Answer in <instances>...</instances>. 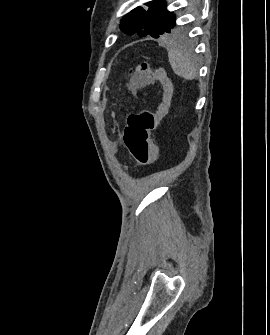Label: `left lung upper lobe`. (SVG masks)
Wrapping results in <instances>:
<instances>
[{
	"mask_svg": "<svg viewBox=\"0 0 270 335\" xmlns=\"http://www.w3.org/2000/svg\"><path fill=\"white\" fill-rule=\"evenodd\" d=\"M148 10L137 7L128 13L120 23V29L129 35L138 33L141 36L151 35L157 38L165 32L171 33L175 27V16L167 11L163 0L146 4Z\"/></svg>",
	"mask_w": 270,
	"mask_h": 335,
	"instance_id": "obj_1",
	"label": "left lung upper lobe"
}]
</instances>
